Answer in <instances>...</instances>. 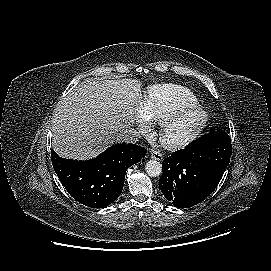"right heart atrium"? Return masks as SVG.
<instances>
[{
	"label": "right heart atrium",
	"instance_id": "1",
	"mask_svg": "<svg viewBox=\"0 0 271 271\" xmlns=\"http://www.w3.org/2000/svg\"><path fill=\"white\" fill-rule=\"evenodd\" d=\"M140 132L144 133L148 130V122L145 118H141L138 122Z\"/></svg>",
	"mask_w": 271,
	"mask_h": 271
}]
</instances>
